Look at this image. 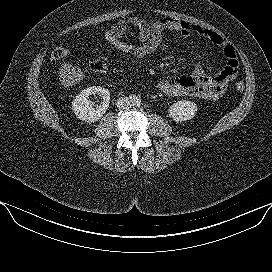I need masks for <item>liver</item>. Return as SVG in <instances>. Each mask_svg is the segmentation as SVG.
<instances>
[{"label":"liver","instance_id":"obj_1","mask_svg":"<svg viewBox=\"0 0 272 272\" xmlns=\"http://www.w3.org/2000/svg\"><path fill=\"white\" fill-rule=\"evenodd\" d=\"M60 75L62 77V85L65 87L72 86L84 78L83 72L70 64L62 65Z\"/></svg>","mask_w":272,"mask_h":272}]
</instances>
